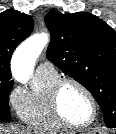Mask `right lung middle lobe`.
<instances>
[{
  "label": "right lung middle lobe",
  "mask_w": 116,
  "mask_h": 134,
  "mask_svg": "<svg viewBox=\"0 0 116 134\" xmlns=\"http://www.w3.org/2000/svg\"><path fill=\"white\" fill-rule=\"evenodd\" d=\"M13 84V81H0V120H6L11 117L8 96Z\"/></svg>",
  "instance_id": "dd1d6c3e"
}]
</instances>
